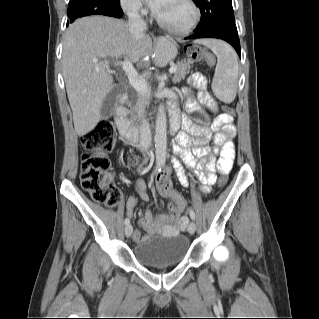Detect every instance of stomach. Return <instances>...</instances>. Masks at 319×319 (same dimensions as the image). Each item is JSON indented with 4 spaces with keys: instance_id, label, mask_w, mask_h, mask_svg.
Masks as SVG:
<instances>
[{
    "instance_id": "obj_1",
    "label": "stomach",
    "mask_w": 319,
    "mask_h": 319,
    "mask_svg": "<svg viewBox=\"0 0 319 319\" xmlns=\"http://www.w3.org/2000/svg\"><path fill=\"white\" fill-rule=\"evenodd\" d=\"M158 53V60L161 65L167 64L177 55V47L175 43L167 38H161L156 46Z\"/></svg>"
}]
</instances>
